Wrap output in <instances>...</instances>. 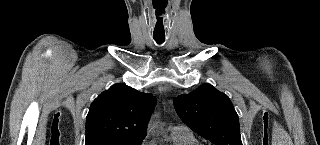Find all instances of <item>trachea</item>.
I'll list each match as a JSON object with an SVG mask.
<instances>
[{
	"label": "trachea",
	"mask_w": 320,
	"mask_h": 145,
	"mask_svg": "<svg viewBox=\"0 0 320 145\" xmlns=\"http://www.w3.org/2000/svg\"><path fill=\"white\" fill-rule=\"evenodd\" d=\"M157 44H162L165 41V37H153Z\"/></svg>",
	"instance_id": "trachea-1"
}]
</instances>
